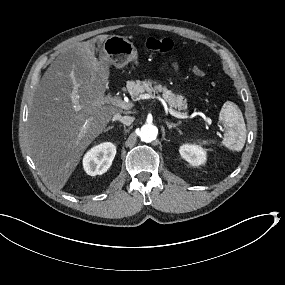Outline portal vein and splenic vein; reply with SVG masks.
<instances>
[{"instance_id":"1","label":"portal vein and splenic vein","mask_w":285,"mask_h":285,"mask_svg":"<svg viewBox=\"0 0 285 285\" xmlns=\"http://www.w3.org/2000/svg\"><path fill=\"white\" fill-rule=\"evenodd\" d=\"M143 98H148V94L143 95ZM151 98L160 101L161 104H162L163 107H164V110H165V111H168L167 102H166V100H165L163 97H161L160 95H154V96H151ZM117 105L122 107L123 102L117 101ZM171 114H172L173 116L177 117V118H185V117H186L184 114L178 113V112H176V111H174V110H171Z\"/></svg>"}]
</instances>
